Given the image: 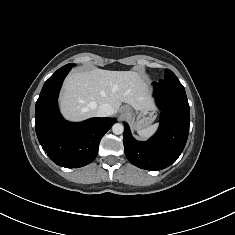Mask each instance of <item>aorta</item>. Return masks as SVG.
<instances>
[{
    "label": "aorta",
    "mask_w": 235,
    "mask_h": 235,
    "mask_svg": "<svg viewBox=\"0 0 235 235\" xmlns=\"http://www.w3.org/2000/svg\"><path fill=\"white\" fill-rule=\"evenodd\" d=\"M123 130H124V127H123V125L120 124V123H116V124H114L113 127H112V131H113V133L116 134V135L122 134V133H123Z\"/></svg>",
    "instance_id": "aorta-1"
}]
</instances>
